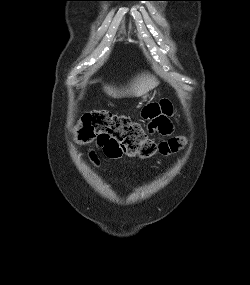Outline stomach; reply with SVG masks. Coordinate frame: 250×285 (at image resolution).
Listing matches in <instances>:
<instances>
[{"mask_svg": "<svg viewBox=\"0 0 250 285\" xmlns=\"http://www.w3.org/2000/svg\"><path fill=\"white\" fill-rule=\"evenodd\" d=\"M142 98H143V99H146V98H147V95H145V96L143 95V97H142Z\"/></svg>", "mask_w": 250, "mask_h": 285, "instance_id": "obj_1", "label": "stomach"}]
</instances>
